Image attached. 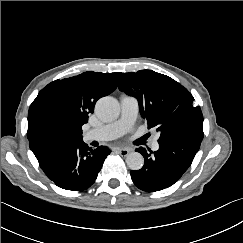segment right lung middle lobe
<instances>
[{"label": "right lung middle lobe", "instance_id": "dd1d6c3e", "mask_svg": "<svg viewBox=\"0 0 243 243\" xmlns=\"http://www.w3.org/2000/svg\"><path fill=\"white\" fill-rule=\"evenodd\" d=\"M49 127L53 133L64 135L66 124L62 119L58 117H52L50 119Z\"/></svg>", "mask_w": 243, "mask_h": 243}]
</instances>
